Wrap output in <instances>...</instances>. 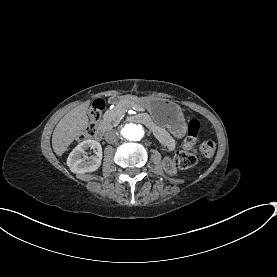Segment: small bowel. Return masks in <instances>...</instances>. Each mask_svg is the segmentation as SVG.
Masks as SVG:
<instances>
[{
    "instance_id": "1",
    "label": "small bowel",
    "mask_w": 277,
    "mask_h": 277,
    "mask_svg": "<svg viewBox=\"0 0 277 277\" xmlns=\"http://www.w3.org/2000/svg\"><path fill=\"white\" fill-rule=\"evenodd\" d=\"M153 131L160 145L164 150L172 151L175 148L174 138L164 128L153 127ZM185 132H186L185 126L181 125L176 129L175 135L178 137H181L185 134Z\"/></svg>"
}]
</instances>
